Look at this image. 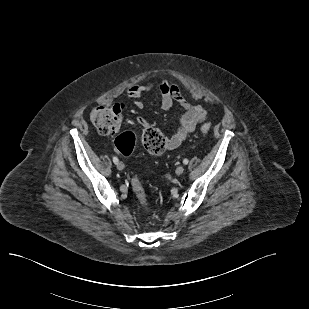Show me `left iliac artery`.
I'll use <instances>...</instances> for the list:
<instances>
[{
    "label": "left iliac artery",
    "mask_w": 309,
    "mask_h": 309,
    "mask_svg": "<svg viewBox=\"0 0 309 309\" xmlns=\"http://www.w3.org/2000/svg\"><path fill=\"white\" fill-rule=\"evenodd\" d=\"M183 163H184L185 165H187V164H188V159H184V160H183Z\"/></svg>",
    "instance_id": "1"
}]
</instances>
